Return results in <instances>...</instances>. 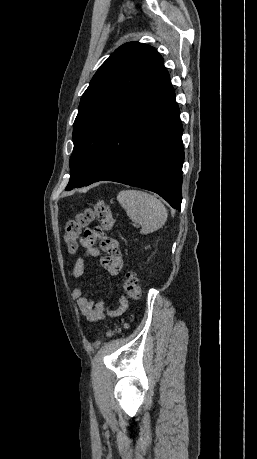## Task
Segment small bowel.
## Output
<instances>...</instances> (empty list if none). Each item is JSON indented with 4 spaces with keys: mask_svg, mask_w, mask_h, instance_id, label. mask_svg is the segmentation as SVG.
<instances>
[{
    "mask_svg": "<svg viewBox=\"0 0 257 459\" xmlns=\"http://www.w3.org/2000/svg\"><path fill=\"white\" fill-rule=\"evenodd\" d=\"M99 239L100 245L96 246V242ZM81 243L85 247V257H98L101 251H103L104 254L100 256L101 266L113 276L121 272L123 260L119 250L118 240L105 236L100 228H95L85 233ZM85 270V258H77L72 276L75 279H79L84 275ZM115 287L119 289L118 283L115 284ZM72 297L76 300L80 314L90 322L102 320L105 314L113 317L119 316L123 314L128 307V300L125 296L120 297L119 305L116 309H110L104 301H95L86 296L83 288L80 287L73 289Z\"/></svg>",
    "mask_w": 257,
    "mask_h": 459,
    "instance_id": "obj_1",
    "label": "small bowel"
}]
</instances>
